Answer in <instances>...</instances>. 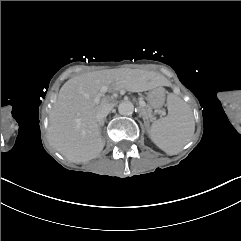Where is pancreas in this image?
<instances>
[{
  "mask_svg": "<svg viewBox=\"0 0 241 241\" xmlns=\"http://www.w3.org/2000/svg\"><path fill=\"white\" fill-rule=\"evenodd\" d=\"M142 111H143V113H144L147 117H149L150 119H154V115H153V113H152V109L150 108L149 105H147V107L143 108Z\"/></svg>",
  "mask_w": 241,
  "mask_h": 241,
  "instance_id": "1",
  "label": "pancreas"
}]
</instances>
